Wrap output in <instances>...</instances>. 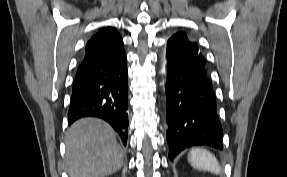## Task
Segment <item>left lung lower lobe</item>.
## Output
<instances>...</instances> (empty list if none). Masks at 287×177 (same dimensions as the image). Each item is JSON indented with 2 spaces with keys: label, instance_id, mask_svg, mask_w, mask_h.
I'll return each mask as SVG.
<instances>
[{
  "label": "left lung lower lobe",
  "instance_id": "left-lung-lower-lobe-1",
  "mask_svg": "<svg viewBox=\"0 0 287 177\" xmlns=\"http://www.w3.org/2000/svg\"><path fill=\"white\" fill-rule=\"evenodd\" d=\"M167 142L172 160L195 145L222 149V128L205 66L188 59L174 40L167 43Z\"/></svg>",
  "mask_w": 287,
  "mask_h": 177
}]
</instances>
